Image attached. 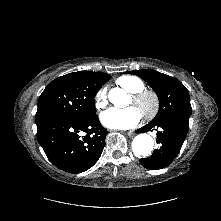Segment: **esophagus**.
Masks as SVG:
<instances>
[{
	"instance_id": "esophagus-1",
	"label": "esophagus",
	"mask_w": 221,
	"mask_h": 221,
	"mask_svg": "<svg viewBox=\"0 0 221 221\" xmlns=\"http://www.w3.org/2000/svg\"><path fill=\"white\" fill-rule=\"evenodd\" d=\"M127 134H128L130 137L134 136V132H133V131H128Z\"/></svg>"
}]
</instances>
